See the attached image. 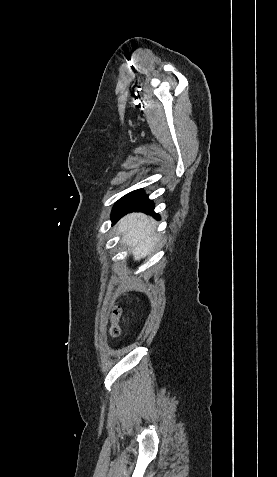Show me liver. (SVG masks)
Instances as JSON below:
<instances>
[{
	"label": "liver",
	"instance_id": "obj_1",
	"mask_svg": "<svg viewBox=\"0 0 277 477\" xmlns=\"http://www.w3.org/2000/svg\"><path fill=\"white\" fill-rule=\"evenodd\" d=\"M155 228V221L143 213H131L119 221L118 234L122 235V243L128 246L134 260L139 261L153 251L158 241Z\"/></svg>",
	"mask_w": 277,
	"mask_h": 477
}]
</instances>
